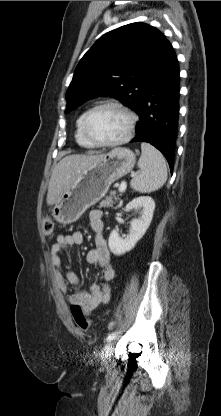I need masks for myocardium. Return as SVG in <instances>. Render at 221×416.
<instances>
[{
  "label": "myocardium",
  "instance_id": "obj_1",
  "mask_svg": "<svg viewBox=\"0 0 221 416\" xmlns=\"http://www.w3.org/2000/svg\"><path fill=\"white\" fill-rule=\"evenodd\" d=\"M108 106H112V107H116L118 109H120L128 118V127L127 130L125 132V134L116 139V140H112V141H100L97 140L96 138H94L88 128L89 125V120L91 118V116L99 109L103 108V107H108ZM136 122H137V117L135 115V113L125 104L117 101V100H105V101H101L98 104H96L95 106H93L92 108H90L86 114L84 115L83 121H82V130L83 133L85 135V137L95 146H101V147H114V146H118L121 144L126 143L127 141H129L135 131V127H136Z\"/></svg>",
  "mask_w": 221,
  "mask_h": 416
}]
</instances>
